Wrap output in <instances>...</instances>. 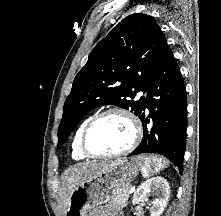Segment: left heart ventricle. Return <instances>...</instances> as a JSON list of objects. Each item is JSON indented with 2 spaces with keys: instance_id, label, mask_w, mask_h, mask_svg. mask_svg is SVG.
<instances>
[{
  "instance_id": "b2bd125f",
  "label": "left heart ventricle",
  "mask_w": 221,
  "mask_h": 216,
  "mask_svg": "<svg viewBox=\"0 0 221 216\" xmlns=\"http://www.w3.org/2000/svg\"><path fill=\"white\" fill-rule=\"evenodd\" d=\"M132 127L121 115L111 114L99 120L87 136L88 148L94 153L117 152L132 140Z\"/></svg>"
}]
</instances>
